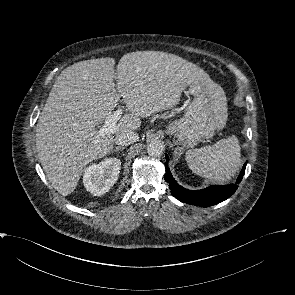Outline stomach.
<instances>
[{
    "label": "stomach",
    "mask_w": 295,
    "mask_h": 295,
    "mask_svg": "<svg viewBox=\"0 0 295 295\" xmlns=\"http://www.w3.org/2000/svg\"><path fill=\"white\" fill-rule=\"evenodd\" d=\"M188 92L193 100L183 118L171 122L166 131L174 137L175 144L192 148L224 127L227 102L223 89L210 79L191 84Z\"/></svg>",
    "instance_id": "obj_1"
}]
</instances>
